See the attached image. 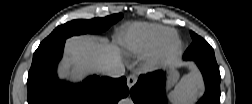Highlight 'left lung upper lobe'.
<instances>
[{
    "instance_id": "5c2ea615",
    "label": "left lung upper lobe",
    "mask_w": 252,
    "mask_h": 104,
    "mask_svg": "<svg viewBox=\"0 0 252 104\" xmlns=\"http://www.w3.org/2000/svg\"><path fill=\"white\" fill-rule=\"evenodd\" d=\"M192 44L188 47L184 54L186 60H216L213 48L200 36L194 32H190Z\"/></svg>"
}]
</instances>
